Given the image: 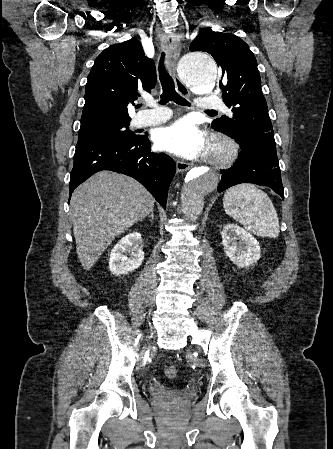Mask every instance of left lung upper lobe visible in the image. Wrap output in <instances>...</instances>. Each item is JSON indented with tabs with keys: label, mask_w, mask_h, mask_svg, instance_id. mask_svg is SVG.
Returning a JSON list of instances; mask_svg holds the SVG:
<instances>
[{
	"label": "left lung upper lobe",
	"mask_w": 333,
	"mask_h": 449,
	"mask_svg": "<svg viewBox=\"0 0 333 449\" xmlns=\"http://www.w3.org/2000/svg\"><path fill=\"white\" fill-rule=\"evenodd\" d=\"M190 51L211 54L222 71V97L233 114L213 121L211 127L235 139L244 150L277 157L257 61L249 46L234 34L205 28L191 43Z\"/></svg>",
	"instance_id": "5c2ea615"
}]
</instances>
